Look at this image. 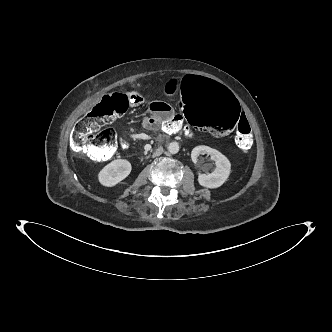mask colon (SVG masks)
<instances>
[{
  "mask_svg": "<svg viewBox=\"0 0 332 332\" xmlns=\"http://www.w3.org/2000/svg\"><path fill=\"white\" fill-rule=\"evenodd\" d=\"M176 106L183 118L213 137H222L234 130L237 147L246 153L252 145L250 124L241 118L240 105L233 93L202 72H192L180 79L175 89ZM135 94L105 95L85 116L79 119L70 138L75 155L93 161L109 160L118 148H126L125 141L113 130L103 128L122 115ZM241 118V119H240ZM167 128H176L174 119L164 120Z\"/></svg>",
  "mask_w": 332,
  "mask_h": 332,
  "instance_id": "1",
  "label": "colon"
}]
</instances>
